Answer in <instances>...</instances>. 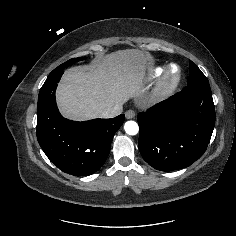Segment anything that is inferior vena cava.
<instances>
[{"mask_svg":"<svg viewBox=\"0 0 236 236\" xmlns=\"http://www.w3.org/2000/svg\"><path fill=\"white\" fill-rule=\"evenodd\" d=\"M123 111L122 105H115L114 107L105 109L103 113L101 114L102 118H113L115 116H118Z\"/></svg>","mask_w":236,"mask_h":236,"instance_id":"1","label":"inferior vena cava"}]
</instances>
